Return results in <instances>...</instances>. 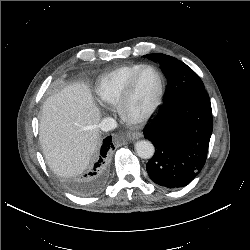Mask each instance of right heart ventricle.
<instances>
[{
	"mask_svg": "<svg viewBox=\"0 0 250 250\" xmlns=\"http://www.w3.org/2000/svg\"><path fill=\"white\" fill-rule=\"evenodd\" d=\"M142 67V64L125 65L103 74L95 87L98 101L104 105H117L130 79Z\"/></svg>",
	"mask_w": 250,
	"mask_h": 250,
	"instance_id": "1",
	"label": "right heart ventricle"
}]
</instances>
